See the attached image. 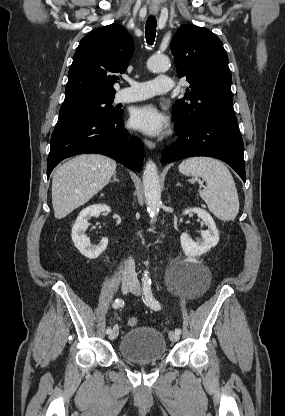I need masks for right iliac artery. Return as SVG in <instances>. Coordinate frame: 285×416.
I'll return each instance as SVG.
<instances>
[{
    "mask_svg": "<svg viewBox=\"0 0 285 416\" xmlns=\"http://www.w3.org/2000/svg\"><path fill=\"white\" fill-rule=\"evenodd\" d=\"M123 305H124V301H123L122 299H120V298H117V299L114 301V303H113V308L117 309V308L122 307ZM110 332H111V328H110V327H108V328L106 329V333H107V334H110Z\"/></svg>",
    "mask_w": 285,
    "mask_h": 416,
    "instance_id": "obj_1",
    "label": "right iliac artery"
}]
</instances>
